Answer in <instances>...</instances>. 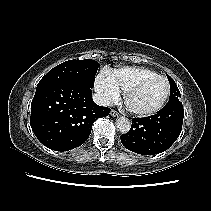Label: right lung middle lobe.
Here are the masks:
<instances>
[{"label": "right lung middle lobe", "instance_id": "obj_1", "mask_svg": "<svg viewBox=\"0 0 211 211\" xmlns=\"http://www.w3.org/2000/svg\"><path fill=\"white\" fill-rule=\"evenodd\" d=\"M99 63L95 60H69L51 69L38 83L37 89L58 83H78L94 87Z\"/></svg>", "mask_w": 211, "mask_h": 211}]
</instances>
